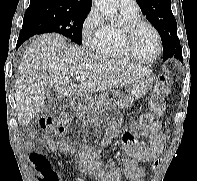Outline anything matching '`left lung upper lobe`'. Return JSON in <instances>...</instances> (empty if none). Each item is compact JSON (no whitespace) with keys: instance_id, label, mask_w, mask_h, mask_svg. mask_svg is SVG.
Listing matches in <instances>:
<instances>
[{"instance_id":"obj_1","label":"left lung upper lobe","mask_w":197,"mask_h":181,"mask_svg":"<svg viewBox=\"0 0 197 181\" xmlns=\"http://www.w3.org/2000/svg\"><path fill=\"white\" fill-rule=\"evenodd\" d=\"M142 13L156 28L163 43V60L175 57L183 62L177 37V23L171 11V0H136Z\"/></svg>"}]
</instances>
